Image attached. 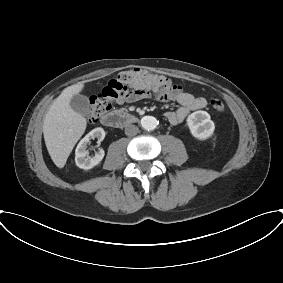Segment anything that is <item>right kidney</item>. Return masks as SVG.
<instances>
[{
	"label": "right kidney",
	"mask_w": 283,
	"mask_h": 283,
	"mask_svg": "<svg viewBox=\"0 0 283 283\" xmlns=\"http://www.w3.org/2000/svg\"><path fill=\"white\" fill-rule=\"evenodd\" d=\"M105 137V131L103 128H95L90 131L77 145L75 150V163L81 169H91L94 166L100 164L104 158V150L99 149L98 152L93 157H89L87 154V145L91 139H98V142H101Z\"/></svg>",
	"instance_id": "obj_1"
}]
</instances>
